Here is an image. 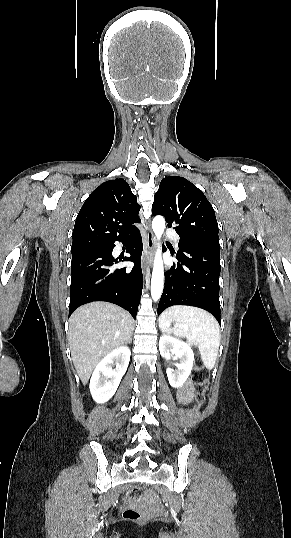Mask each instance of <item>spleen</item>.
Returning a JSON list of instances; mask_svg holds the SVG:
<instances>
[{
	"label": "spleen",
	"instance_id": "3e777b00",
	"mask_svg": "<svg viewBox=\"0 0 291 538\" xmlns=\"http://www.w3.org/2000/svg\"><path fill=\"white\" fill-rule=\"evenodd\" d=\"M175 321L174 328L170 324ZM159 327L198 346L207 369H212L220 345V329L215 318L205 310L191 306L175 305L164 310L159 317Z\"/></svg>",
	"mask_w": 291,
	"mask_h": 538
}]
</instances>
